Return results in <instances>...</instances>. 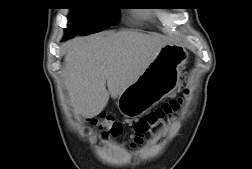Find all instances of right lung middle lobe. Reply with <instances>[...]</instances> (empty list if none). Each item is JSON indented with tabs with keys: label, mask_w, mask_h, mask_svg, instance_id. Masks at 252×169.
I'll list each match as a JSON object with an SVG mask.
<instances>
[{
	"label": "right lung middle lobe",
	"mask_w": 252,
	"mask_h": 169,
	"mask_svg": "<svg viewBox=\"0 0 252 169\" xmlns=\"http://www.w3.org/2000/svg\"><path fill=\"white\" fill-rule=\"evenodd\" d=\"M113 0H71L70 25L66 29L65 40L77 34H90L116 25L119 8Z\"/></svg>",
	"instance_id": "obj_1"
}]
</instances>
